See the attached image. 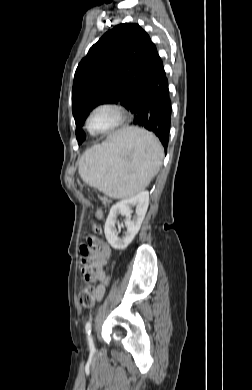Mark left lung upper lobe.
Here are the masks:
<instances>
[{"label":"left lung upper lobe","instance_id":"left-lung-upper-lobe-1","mask_svg":"<svg viewBox=\"0 0 252 390\" xmlns=\"http://www.w3.org/2000/svg\"><path fill=\"white\" fill-rule=\"evenodd\" d=\"M160 57L149 35L138 24H119L108 30L79 63L72 89V112L78 144L90 111L98 105L121 103L130 97Z\"/></svg>","mask_w":252,"mask_h":390}]
</instances>
